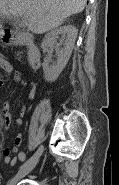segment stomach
I'll return each mask as SVG.
<instances>
[{"mask_svg": "<svg viewBox=\"0 0 119 185\" xmlns=\"http://www.w3.org/2000/svg\"><path fill=\"white\" fill-rule=\"evenodd\" d=\"M3 37V32L0 30V38Z\"/></svg>", "mask_w": 119, "mask_h": 185, "instance_id": "0dacf381", "label": "stomach"}]
</instances>
